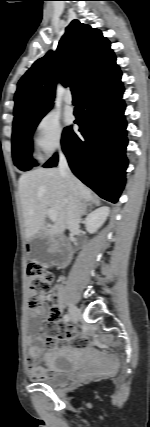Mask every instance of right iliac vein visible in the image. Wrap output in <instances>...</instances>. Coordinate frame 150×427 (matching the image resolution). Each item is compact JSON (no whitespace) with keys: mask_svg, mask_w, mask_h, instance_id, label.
<instances>
[{"mask_svg":"<svg viewBox=\"0 0 150 427\" xmlns=\"http://www.w3.org/2000/svg\"><path fill=\"white\" fill-rule=\"evenodd\" d=\"M69 315L73 322H77L80 317V312L78 308L73 304H70L69 306Z\"/></svg>","mask_w":150,"mask_h":427,"instance_id":"1","label":"right iliac vein"}]
</instances>
